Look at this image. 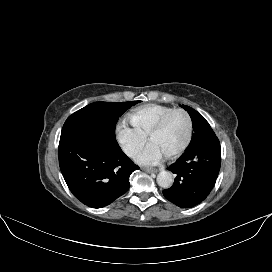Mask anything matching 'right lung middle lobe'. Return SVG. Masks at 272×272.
Masks as SVG:
<instances>
[{
	"label": "right lung middle lobe",
	"mask_w": 272,
	"mask_h": 272,
	"mask_svg": "<svg viewBox=\"0 0 272 272\" xmlns=\"http://www.w3.org/2000/svg\"><path fill=\"white\" fill-rule=\"evenodd\" d=\"M140 101L110 103L94 102L70 115L66 125H82L98 129L103 133L115 137V127L119 117L131 106Z\"/></svg>",
	"instance_id": "obj_1"
}]
</instances>
